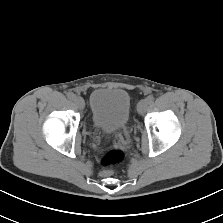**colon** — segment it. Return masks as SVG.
<instances>
[{"label":"colon","mask_w":223,"mask_h":223,"mask_svg":"<svg viewBox=\"0 0 223 223\" xmlns=\"http://www.w3.org/2000/svg\"><path fill=\"white\" fill-rule=\"evenodd\" d=\"M125 153L119 149H111L103 154L100 159L101 171L104 175H110L116 166L123 163Z\"/></svg>","instance_id":"colon-1"}]
</instances>
